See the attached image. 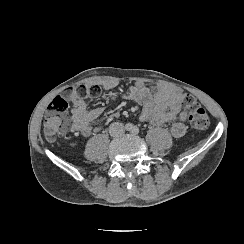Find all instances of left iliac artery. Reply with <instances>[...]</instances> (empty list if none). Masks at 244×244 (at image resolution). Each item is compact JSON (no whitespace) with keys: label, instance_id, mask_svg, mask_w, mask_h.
I'll return each instance as SVG.
<instances>
[{"label":"left iliac artery","instance_id":"1","mask_svg":"<svg viewBox=\"0 0 244 244\" xmlns=\"http://www.w3.org/2000/svg\"><path fill=\"white\" fill-rule=\"evenodd\" d=\"M132 133H133V134H138V133H139V128H138V127H134V128L132 129Z\"/></svg>","mask_w":244,"mask_h":244}]
</instances>
